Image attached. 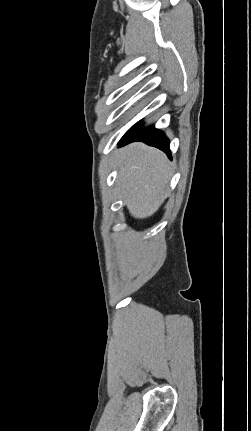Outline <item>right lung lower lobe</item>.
<instances>
[{
	"label": "right lung lower lobe",
	"mask_w": 251,
	"mask_h": 431,
	"mask_svg": "<svg viewBox=\"0 0 251 431\" xmlns=\"http://www.w3.org/2000/svg\"><path fill=\"white\" fill-rule=\"evenodd\" d=\"M132 141H142L150 146H154L164 151L169 158H171V153L169 149V141L167 137L154 126L141 129V122L139 121L134 126H132L120 140V145H123Z\"/></svg>",
	"instance_id": "obj_1"
}]
</instances>
